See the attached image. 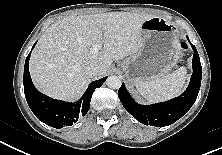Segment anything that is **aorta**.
I'll return each mask as SVG.
<instances>
[{
    "label": "aorta",
    "instance_id": "762f6f07",
    "mask_svg": "<svg viewBox=\"0 0 222 155\" xmlns=\"http://www.w3.org/2000/svg\"><path fill=\"white\" fill-rule=\"evenodd\" d=\"M106 84L109 88L119 89L121 87L122 81L118 76H109L106 80Z\"/></svg>",
    "mask_w": 222,
    "mask_h": 155
}]
</instances>
